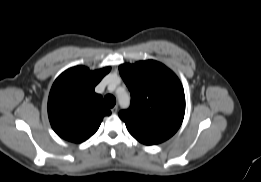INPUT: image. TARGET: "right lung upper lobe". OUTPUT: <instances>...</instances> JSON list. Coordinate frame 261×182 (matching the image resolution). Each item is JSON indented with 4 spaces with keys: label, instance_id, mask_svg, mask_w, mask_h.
<instances>
[{
    "label": "right lung upper lobe",
    "instance_id": "obj_1",
    "mask_svg": "<svg viewBox=\"0 0 261 182\" xmlns=\"http://www.w3.org/2000/svg\"><path fill=\"white\" fill-rule=\"evenodd\" d=\"M110 67L90 71L84 66L64 71L53 83L48 98V116L53 130L63 139L81 143L99 128L111 111L104 107L95 86Z\"/></svg>",
    "mask_w": 261,
    "mask_h": 182
}]
</instances>
